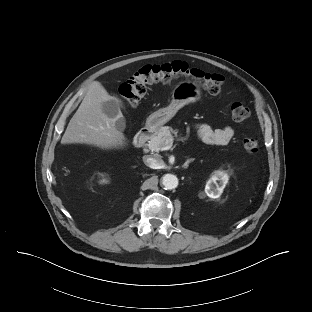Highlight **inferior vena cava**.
Masks as SVG:
<instances>
[{"label":"inferior vena cava","mask_w":312,"mask_h":312,"mask_svg":"<svg viewBox=\"0 0 312 312\" xmlns=\"http://www.w3.org/2000/svg\"><path fill=\"white\" fill-rule=\"evenodd\" d=\"M143 162L152 169H160L164 164V161L160 157H150L148 155L143 156Z\"/></svg>","instance_id":"1"}]
</instances>
